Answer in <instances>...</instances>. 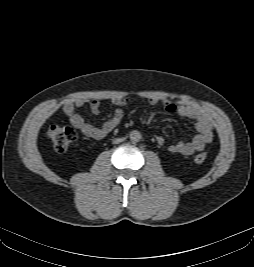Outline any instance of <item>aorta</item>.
Instances as JSON below:
<instances>
[{
	"mask_svg": "<svg viewBox=\"0 0 254 267\" xmlns=\"http://www.w3.org/2000/svg\"><path fill=\"white\" fill-rule=\"evenodd\" d=\"M129 136L132 142H139L142 138L141 133L137 130L131 131Z\"/></svg>",
	"mask_w": 254,
	"mask_h": 267,
	"instance_id": "1",
	"label": "aorta"
}]
</instances>
